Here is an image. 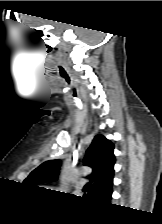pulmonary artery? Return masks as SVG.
<instances>
[{"mask_svg":"<svg viewBox=\"0 0 162 224\" xmlns=\"http://www.w3.org/2000/svg\"><path fill=\"white\" fill-rule=\"evenodd\" d=\"M80 189V186L78 185L77 187H76V190L78 191Z\"/></svg>","mask_w":162,"mask_h":224,"instance_id":"pulmonary-artery-1","label":"pulmonary artery"}]
</instances>
